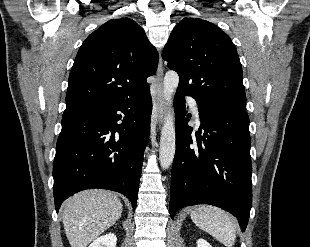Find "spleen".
I'll return each mask as SVG.
<instances>
[{
  "instance_id": "spleen-1",
  "label": "spleen",
  "mask_w": 310,
  "mask_h": 247,
  "mask_svg": "<svg viewBox=\"0 0 310 247\" xmlns=\"http://www.w3.org/2000/svg\"><path fill=\"white\" fill-rule=\"evenodd\" d=\"M192 221L201 230L215 237L227 247H232L236 240V224L224 210L210 205H202L190 214Z\"/></svg>"
}]
</instances>
